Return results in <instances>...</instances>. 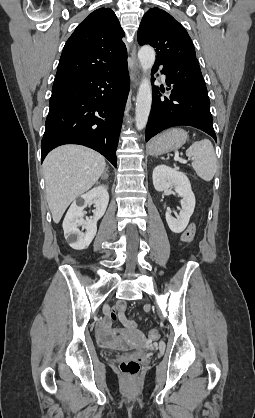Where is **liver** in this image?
Instances as JSON below:
<instances>
[{"label":"liver","instance_id":"obj_1","mask_svg":"<svg viewBox=\"0 0 255 418\" xmlns=\"http://www.w3.org/2000/svg\"><path fill=\"white\" fill-rule=\"evenodd\" d=\"M105 166L101 154L79 145H64L47 155L43 172L48 206L55 223H59L75 198L98 181Z\"/></svg>","mask_w":255,"mask_h":418}]
</instances>
